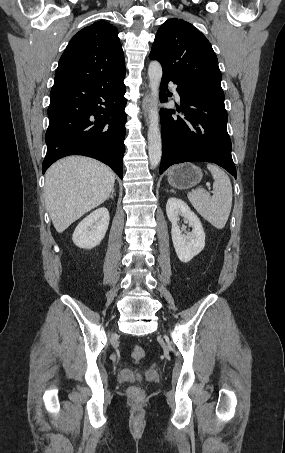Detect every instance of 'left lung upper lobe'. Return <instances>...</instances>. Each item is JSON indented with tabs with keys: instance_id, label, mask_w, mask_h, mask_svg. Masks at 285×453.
<instances>
[{
	"instance_id": "5c2ea615",
	"label": "left lung upper lobe",
	"mask_w": 285,
	"mask_h": 453,
	"mask_svg": "<svg viewBox=\"0 0 285 453\" xmlns=\"http://www.w3.org/2000/svg\"><path fill=\"white\" fill-rule=\"evenodd\" d=\"M149 57L161 63L163 73L201 92L225 99L216 54L207 38L192 24L181 19L163 23Z\"/></svg>"
}]
</instances>
